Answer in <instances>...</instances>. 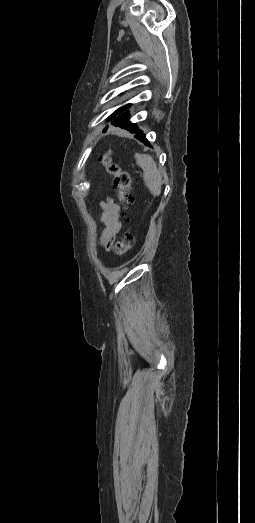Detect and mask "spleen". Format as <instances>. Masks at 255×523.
I'll use <instances>...</instances> for the list:
<instances>
[{
	"mask_svg": "<svg viewBox=\"0 0 255 523\" xmlns=\"http://www.w3.org/2000/svg\"><path fill=\"white\" fill-rule=\"evenodd\" d=\"M137 166L142 168L144 172V180L147 188H149L153 196H160L161 194V176L157 170V166L149 154H135L134 156Z\"/></svg>",
	"mask_w": 255,
	"mask_h": 523,
	"instance_id": "obj_1",
	"label": "spleen"
}]
</instances>
